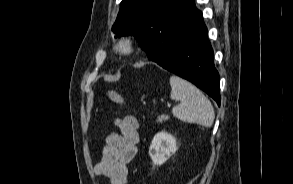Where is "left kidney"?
<instances>
[{"label": "left kidney", "mask_w": 293, "mask_h": 184, "mask_svg": "<svg viewBox=\"0 0 293 184\" xmlns=\"http://www.w3.org/2000/svg\"><path fill=\"white\" fill-rule=\"evenodd\" d=\"M177 150L176 139L166 132L157 133L149 147V155L154 165H162Z\"/></svg>", "instance_id": "5707ae66"}]
</instances>
